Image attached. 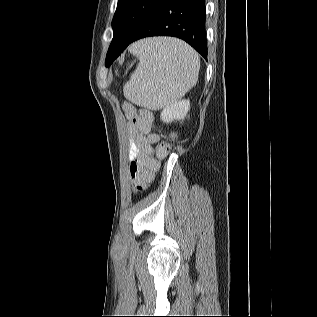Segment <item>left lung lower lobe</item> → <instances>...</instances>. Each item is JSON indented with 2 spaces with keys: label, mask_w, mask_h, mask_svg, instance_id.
Listing matches in <instances>:
<instances>
[{
  "label": "left lung lower lobe",
  "mask_w": 317,
  "mask_h": 317,
  "mask_svg": "<svg viewBox=\"0 0 317 317\" xmlns=\"http://www.w3.org/2000/svg\"><path fill=\"white\" fill-rule=\"evenodd\" d=\"M151 36H173L190 44L207 60L205 0H164L128 42H112L108 54L117 58L129 44Z\"/></svg>",
  "instance_id": "left-lung-lower-lobe-1"
}]
</instances>
